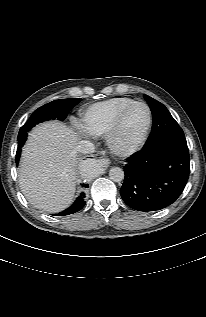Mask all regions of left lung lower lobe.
Instances as JSON below:
<instances>
[{
  "instance_id": "left-lung-lower-lobe-1",
  "label": "left lung lower lobe",
  "mask_w": 206,
  "mask_h": 317,
  "mask_svg": "<svg viewBox=\"0 0 206 317\" xmlns=\"http://www.w3.org/2000/svg\"><path fill=\"white\" fill-rule=\"evenodd\" d=\"M189 171L186 142L164 141L145 146L127 159L121 197L138 211L163 209L180 196Z\"/></svg>"
}]
</instances>
